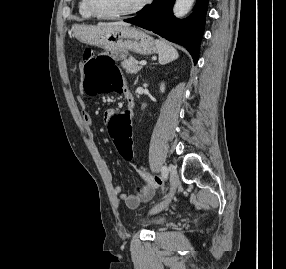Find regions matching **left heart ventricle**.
I'll list each match as a JSON object with an SVG mask.
<instances>
[{"label": "left heart ventricle", "instance_id": "left-heart-ventricle-1", "mask_svg": "<svg viewBox=\"0 0 286 269\" xmlns=\"http://www.w3.org/2000/svg\"><path fill=\"white\" fill-rule=\"evenodd\" d=\"M142 0H93L94 7L104 14H116L134 8Z\"/></svg>", "mask_w": 286, "mask_h": 269}]
</instances>
